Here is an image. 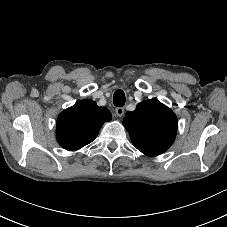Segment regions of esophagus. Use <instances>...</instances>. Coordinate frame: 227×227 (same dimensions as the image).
<instances>
[{"label":"esophagus","mask_w":227,"mask_h":227,"mask_svg":"<svg viewBox=\"0 0 227 227\" xmlns=\"http://www.w3.org/2000/svg\"><path fill=\"white\" fill-rule=\"evenodd\" d=\"M124 112H125V110L123 107H117L115 109V113L118 117H122L124 115Z\"/></svg>","instance_id":"obj_1"}]
</instances>
